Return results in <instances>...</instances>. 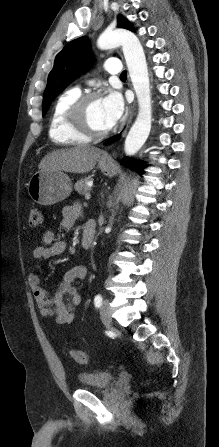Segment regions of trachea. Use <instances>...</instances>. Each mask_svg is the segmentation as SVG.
I'll return each mask as SVG.
<instances>
[{"label":"trachea","mask_w":219,"mask_h":447,"mask_svg":"<svg viewBox=\"0 0 219 447\" xmlns=\"http://www.w3.org/2000/svg\"><path fill=\"white\" fill-rule=\"evenodd\" d=\"M127 77V72L123 71L120 75V78H126Z\"/></svg>","instance_id":"obj_1"}]
</instances>
